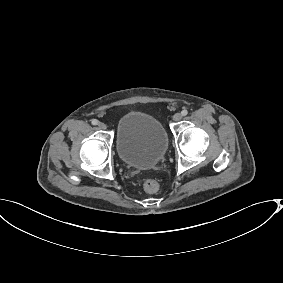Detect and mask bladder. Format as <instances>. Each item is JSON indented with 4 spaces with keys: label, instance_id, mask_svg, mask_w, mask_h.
Returning a JSON list of instances; mask_svg holds the SVG:
<instances>
[{
    "label": "bladder",
    "instance_id": "bladder-1",
    "mask_svg": "<svg viewBox=\"0 0 283 283\" xmlns=\"http://www.w3.org/2000/svg\"><path fill=\"white\" fill-rule=\"evenodd\" d=\"M115 137L119 158L135 168L153 166L168 147V135L162 122L139 111L126 112L118 119Z\"/></svg>",
    "mask_w": 283,
    "mask_h": 283
}]
</instances>
